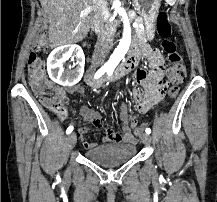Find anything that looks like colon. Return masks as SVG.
Segmentation results:
<instances>
[{"label":"colon","mask_w":217,"mask_h":202,"mask_svg":"<svg viewBox=\"0 0 217 202\" xmlns=\"http://www.w3.org/2000/svg\"><path fill=\"white\" fill-rule=\"evenodd\" d=\"M157 30L161 38V47L171 66L166 70L158 72V74H167L166 82L177 83V80L188 79L187 66L182 54L177 50L174 41L171 40L172 25L169 21L166 10H161L157 15ZM51 40L50 36H36V41L40 44L34 45L33 51L30 53L27 62V72L33 91L41 98L50 108V111H61L62 103L66 102L64 93H55L52 80H47L43 73V68H49V63H44V59H40L37 53H40L41 46H48ZM145 78V77H144ZM176 81V82H173ZM167 96L170 100L176 98L179 92V86H170ZM161 96H145L142 102H155ZM133 138H141L144 133L143 129H133Z\"/></svg>","instance_id":"1"}]
</instances>
